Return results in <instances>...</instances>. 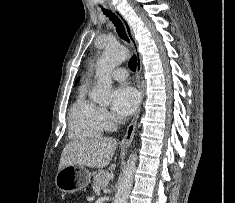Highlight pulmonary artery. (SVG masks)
I'll return each instance as SVG.
<instances>
[{
    "instance_id": "obj_1",
    "label": "pulmonary artery",
    "mask_w": 235,
    "mask_h": 203,
    "mask_svg": "<svg viewBox=\"0 0 235 203\" xmlns=\"http://www.w3.org/2000/svg\"><path fill=\"white\" fill-rule=\"evenodd\" d=\"M111 77L117 81H124L128 77V71L125 68H117L111 72Z\"/></svg>"
}]
</instances>
